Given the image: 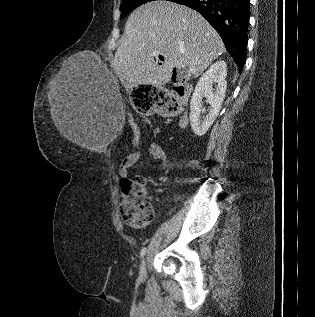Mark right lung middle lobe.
I'll return each instance as SVG.
<instances>
[{
  "instance_id": "dd1d6c3e",
  "label": "right lung middle lobe",
  "mask_w": 315,
  "mask_h": 317,
  "mask_svg": "<svg viewBox=\"0 0 315 317\" xmlns=\"http://www.w3.org/2000/svg\"><path fill=\"white\" fill-rule=\"evenodd\" d=\"M150 1H156V0H123L120 7V10H121L120 19L124 18L133 9ZM168 1L173 2L175 0H168Z\"/></svg>"
}]
</instances>
